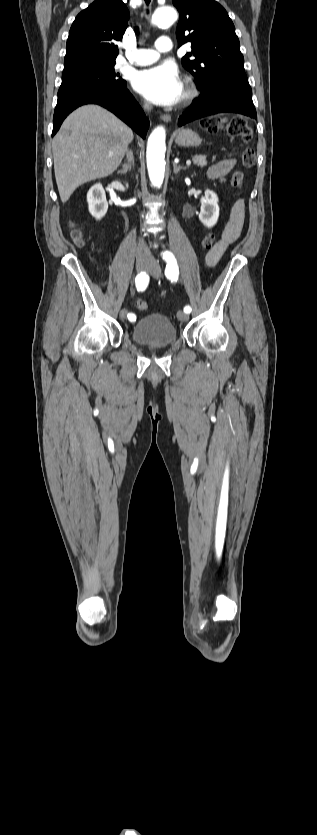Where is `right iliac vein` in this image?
Masks as SVG:
<instances>
[{"label": "right iliac vein", "instance_id": "63e3f726", "mask_svg": "<svg viewBox=\"0 0 317 835\" xmlns=\"http://www.w3.org/2000/svg\"><path fill=\"white\" fill-rule=\"evenodd\" d=\"M149 264V260L145 257H138L136 260V268L138 271L145 270ZM128 311L126 309H122L120 311L119 317L121 320H125L127 317Z\"/></svg>", "mask_w": 317, "mask_h": 835}]
</instances>
